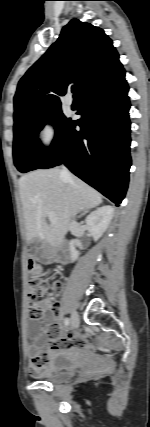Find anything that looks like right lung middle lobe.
<instances>
[{"label": "right lung middle lobe", "instance_id": "right-lung-middle-lobe-1", "mask_svg": "<svg viewBox=\"0 0 150 427\" xmlns=\"http://www.w3.org/2000/svg\"><path fill=\"white\" fill-rule=\"evenodd\" d=\"M69 121L62 114L61 107L56 106L15 122L13 158L17 169L22 173L37 169L50 155ZM47 123L55 126L56 135L51 146L43 151L45 148L40 143L38 134Z\"/></svg>", "mask_w": 150, "mask_h": 427}]
</instances>
